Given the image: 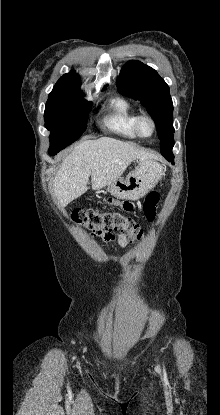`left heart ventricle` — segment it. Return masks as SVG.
<instances>
[{"instance_id":"obj_1","label":"left heart ventricle","mask_w":220,"mask_h":415,"mask_svg":"<svg viewBox=\"0 0 220 415\" xmlns=\"http://www.w3.org/2000/svg\"><path fill=\"white\" fill-rule=\"evenodd\" d=\"M141 131H142L143 134H145L147 136L150 135L151 132H152L151 124L148 121H143L141 123Z\"/></svg>"}]
</instances>
